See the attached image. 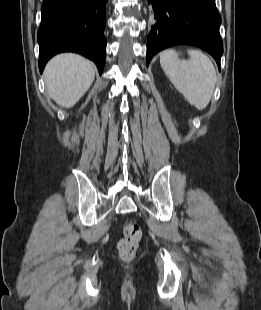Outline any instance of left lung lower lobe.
<instances>
[{"instance_id":"left-lung-lower-lobe-1","label":"left lung lower lobe","mask_w":261,"mask_h":310,"mask_svg":"<svg viewBox=\"0 0 261 310\" xmlns=\"http://www.w3.org/2000/svg\"><path fill=\"white\" fill-rule=\"evenodd\" d=\"M154 24L147 37V66L159 51L177 44L200 47L220 67L221 17L215 0H148Z\"/></svg>"}]
</instances>
